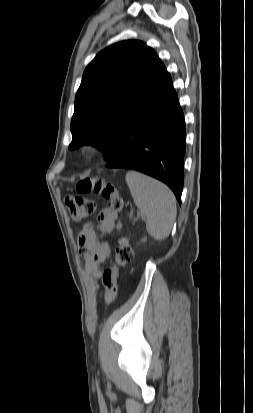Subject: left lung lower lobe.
Segmentation results:
<instances>
[{
    "label": "left lung lower lobe",
    "mask_w": 253,
    "mask_h": 413,
    "mask_svg": "<svg viewBox=\"0 0 253 413\" xmlns=\"http://www.w3.org/2000/svg\"><path fill=\"white\" fill-rule=\"evenodd\" d=\"M117 156L107 168L133 169L167 184L181 201L186 129L167 72L141 111L125 124Z\"/></svg>",
    "instance_id": "0a47b994"
}]
</instances>
